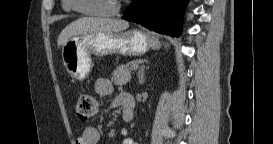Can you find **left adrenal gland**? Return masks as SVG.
I'll list each match as a JSON object with an SVG mask.
<instances>
[{
    "label": "left adrenal gland",
    "instance_id": "left-adrenal-gland-1",
    "mask_svg": "<svg viewBox=\"0 0 273 144\" xmlns=\"http://www.w3.org/2000/svg\"><path fill=\"white\" fill-rule=\"evenodd\" d=\"M148 66L142 65L138 71L139 84L142 85L145 82V70L148 69Z\"/></svg>",
    "mask_w": 273,
    "mask_h": 144
}]
</instances>
